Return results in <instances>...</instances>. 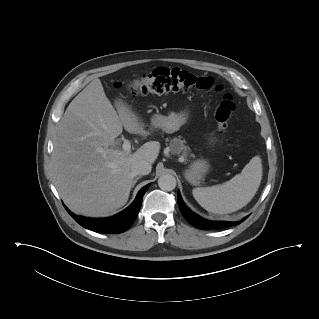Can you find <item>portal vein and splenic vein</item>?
Returning <instances> with one entry per match:
<instances>
[{
  "label": "portal vein and splenic vein",
  "mask_w": 319,
  "mask_h": 319,
  "mask_svg": "<svg viewBox=\"0 0 319 319\" xmlns=\"http://www.w3.org/2000/svg\"><path fill=\"white\" fill-rule=\"evenodd\" d=\"M123 152L126 154H129L131 151V143L129 140H124L123 145H122Z\"/></svg>",
  "instance_id": "portal-vein-and-splenic-vein-1"
}]
</instances>
